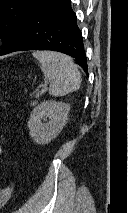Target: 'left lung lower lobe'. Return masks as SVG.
Masks as SVG:
<instances>
[{
	"mask_svg": "<svg viewBox=\"0 0 128 213\" xmlns=\"http://www.w3.org/2000/svg\"><path fill=\"white\" fill-rule=\"evenodd\" d=\"M76 21L70 0H38L0 55L35 49L58 51L76 58L87 73L81 31Z\"/></svg>",
	"mask_w": 128,
	"mask_h": 213,
	"instance_id": "0a47b994",
	"label": "left lung lower lobe"
}]
</instances>
